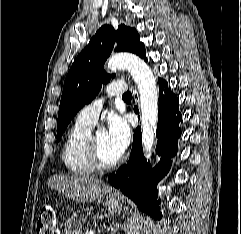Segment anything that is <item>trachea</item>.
<instances>
[{
	"mask_svg": "<svg viewBox=\"0 0 241 234\" xmlns=\"http://www.w3.org/2000/svg\"><path fill=\"white\" fill-rule=\"evenodd\" d=\"M123 99L124 100H130L131 99V93L130 92H127L123 95Z\"/></svg>",
	"mask_w": 241,
	"mask_h": 234,
	"instance_id": "3493384b",
	"label": "trachea"
}]
</instances>
